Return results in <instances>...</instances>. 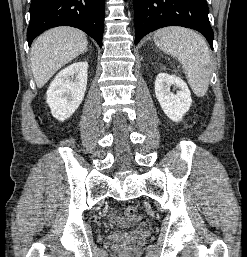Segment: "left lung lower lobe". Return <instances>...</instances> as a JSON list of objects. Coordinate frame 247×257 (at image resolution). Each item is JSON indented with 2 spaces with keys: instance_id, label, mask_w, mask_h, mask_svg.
I'll list each match as a JSON object with an SVG mask.
<instances>
[{
  "instance_id": "left-lung-lower-lobe-1",
  "label": "left lung lower lobe",
  "mask_w": 247,
  "mask_h": 257,
  "mask_svg": "<svg viewBox=\"0 0 247 257\" xmlns=\"http://www.w3.org/2000/svg\"><path fill=\"white\" fill-rule=\"evenodd\" d=\"M135 45L148 33L166 26H182L202 33L213 49L206 0H134Z\"/></svg>"
}]
</instances>
